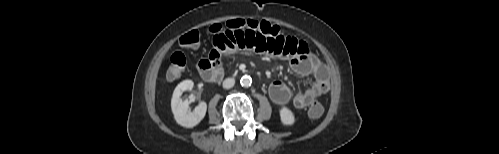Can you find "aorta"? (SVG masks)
<instances>
[{
  "label": "aorta",
  "mask_w": 499,
  "mask_h": 154,
  "mask_svg": "<svg viewBox=\"0 0 499 154\" xmlns=\"http://www.w3.org/2000/svg\"><path fill=\"white\" fill-rule=\"evenodd\" d=\"M240 84L243 87H249L252 84V78L248 75H244L240 79Z\"/></svg>",
  "instance_id": "1"
}]
</instances>
